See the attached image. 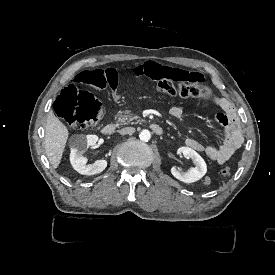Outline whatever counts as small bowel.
Here are the masks:
<instances>
[{
	"label": "small bowel",
	"mask_w": 275,
	"mask_h": 275,
	"mask_svg": "<svg viewBox=\"0 0 275 275\" xmlns=\"http://www.w3.org/2000/svg\"><path fill=\"white\" fill-rule=\"evenodd\" d=\"M141 75L147 76L152 81H175L185 84L187 77H194L196 85L203 83L205 76L203 72L193 69H183L173 64L160 65L155 62H147L138 68ZM105 79L111 84L112 93L116 100H121L128 96L126 89L120 88L118 79V72L112 67L105 69ZM212 103L218 106L228 118V124L223 129V140L221 144L216 147L213 145H205L202 142L194 139H186V145L194 151L203 153L209 160L220 165L225 164L241 147L243 143V135L241 132L240 121L238 113L234 105L227 99L216 97ZM185 107L183 105H175L170 109V115L181 124L186 123Z\"/></svg>",
	"instance_id": "1"
}]
</instances>
